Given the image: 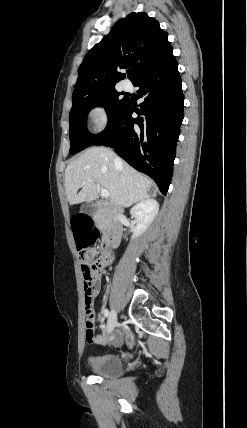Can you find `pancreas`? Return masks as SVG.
Returning a JSON list of instances; mask_svg holds the SVG:
<instances>
[{
  "label": "pancreas",
  "instance_id": "obj_1",
  "mask_svg": "<svg viewBox=\"0 0 247 428\" xmlns=\"http://www.w3.org/2000/svg\"><path fill=\"white\" fill-rule=\"evenodd\" d=\"M96 221L102 229H106L107 225L105 224V220L102 217H98Z\"/></svg>",
  "mask_w": 247,
  "mask_h": 428
}]
</instances>
